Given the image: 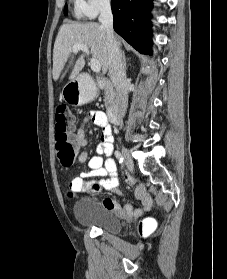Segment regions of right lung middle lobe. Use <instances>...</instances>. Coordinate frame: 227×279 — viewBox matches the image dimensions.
Instances as JSON below:
<instances>
[{
    "mask_svg": "<svg viewBox=\"0 0 227 279\" xmlns=\"http://www.w3.org/2000/svg\"><path fill=\"white\" fill-rule=\"evenodd\" d=\"M67 11H68V10H67V5H66L65 8H64V14H65V15H67Z\"/></svg>",
    "mask_w": 227,
    "mask_h": 279,
    "instance_id": "1",
    "label": "right lung middle lobe"
}]
</instances>
